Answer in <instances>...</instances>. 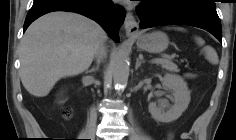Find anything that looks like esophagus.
Instances as JSON below:
<instances>
[{"mask_svg": "<svg viewBox=\"0 0 236 140\" xmlns=\"http://www.w3.org/2000/svg\"><path fill=\"white\" fill-rule=\"evenodd\" d=\"M124 27L127 35H136L139 31V25L134 15L130 12L126 15Z\"/></svg>", "mask_w": 236, "mask_h": 140, "instance_id": "34e87169", "label": "esophagus"}]
</instances>
